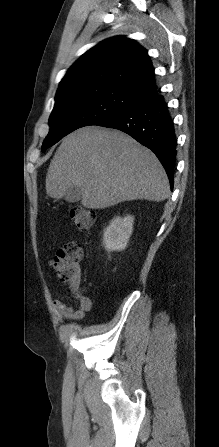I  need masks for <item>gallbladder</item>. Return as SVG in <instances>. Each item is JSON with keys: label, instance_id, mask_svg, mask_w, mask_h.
Instances as JSON below:
<instances>
[{"label": "gallbladder", "instance_id": "1", "mask_svg": "<svg viewBox=\"0 0 219 447\" xmlns=\"http://www.w3.org/2000/svg\"><path fill=\"white\" fill-rule=\"evenodd\" d=\"M81 197H82L81 189L76 186H73L68 189V191L64 196V199L69 203H75L79 202L81 200Z\"/></svg>", "mask_w": 219, "mask_h": 447}]
</instances>
